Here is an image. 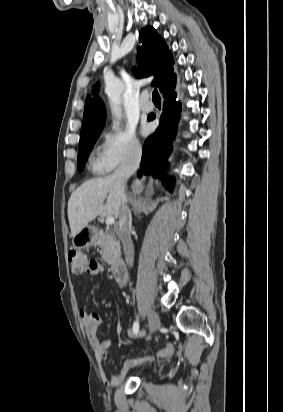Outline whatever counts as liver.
<instances>
[{
	"label": "liver",
	"mask_w": 283,
	"mask_h": 412,
	"mask_svg": "<svg viewBox=\"0 0 283 412\" xmlns=\"http://www.w3.org/2000/svg\"><path fill=\"white\" fill-rule=\"evenodd\" d=\"M122 201L123 185L113 175L84 182L68 201L72 238L99 215L118 218Z\"/></svg>",
	"instance_id": "obj_1"
}]
</instances>
